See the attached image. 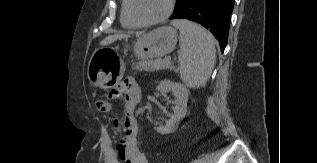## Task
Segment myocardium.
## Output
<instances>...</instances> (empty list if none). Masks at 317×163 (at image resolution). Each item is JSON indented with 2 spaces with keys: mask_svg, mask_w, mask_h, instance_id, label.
<instances>
[{
  "mask_svg": "<svg viewBox=\"0 0 317 163\" xmlns=\"http://www.w3.org/2000/svg\"><path fill=\"white\" fill-rule=\"evenodd\" d=\"M174 5H175V0H167V5H166V9H165L164 13L161 16H159L155 19H152V20H148V21H142L136 17V15L134 14V11H133V0H128L127 8H128V14H129L131 20L137 26L150 27V26L160 24V23L164 22L166 19H168L174 10Z\"/></svg>",
  "mask_w": 317,
  "mask_h": 163,
  "instance_id": "f54148a6",
  "label": "myocardium"
}]
</instances>
